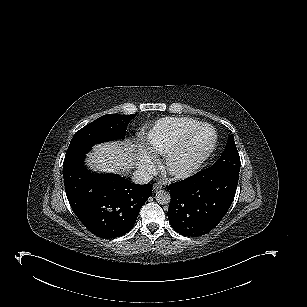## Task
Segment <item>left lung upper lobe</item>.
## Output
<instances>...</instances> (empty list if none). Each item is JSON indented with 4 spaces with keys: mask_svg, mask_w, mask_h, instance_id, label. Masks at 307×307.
<instances>
[{
    "mask_svg": "<svg viewBox=\"0 0 307 307\" xmlns=\"http://www.w3.org/2000/svg\"><path fill=\"white\" fill-rule=\"evenodd\" d=\"M240 166L239 153L233 135H231L219 160L211 167L207 168V170L212 171L213 173L230 172L239 175Z\"/></svg>",
    "mask_w": 307,
    "mask_h": 307,
    "instance_id": "1",
    "label": "left lung upper lobe"
}]
</instances>
